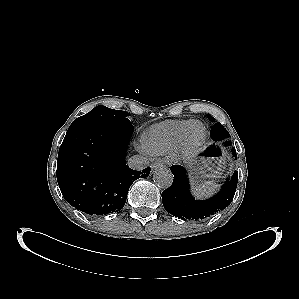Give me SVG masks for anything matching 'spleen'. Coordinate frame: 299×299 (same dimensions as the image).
<instances>
[{"mask_svg":"<svg viewBox=\"0 0 299 299\" xmlns=\"http://www.w3.org/2000/svg\"><path fill=\"white\" fill-rule=\"evenodd\" d=\"M217 187H218V185L214 181L208 180V181H204L202 183L197 184L193 188V193L198 198H204V197H208L211 194H213V192L215 191V189Z\"/></svg>","mask_w":299,"mask_h":299,"instance_id":"3e777b00","label":"spleen"}]
</instances>
